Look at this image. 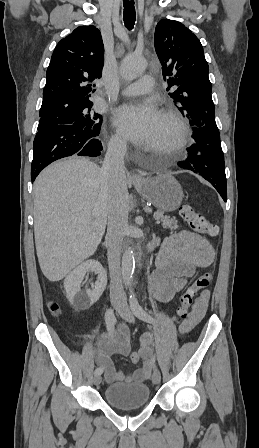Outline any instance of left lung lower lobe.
Masks as SVG:
<instances>
[{
  "mask_svg": "<svg viewBox=\"0 0 259 448\" xmlns=\"http://www.w3.org/2000/svg\"><path fill=\"white\" fill-rule=\"evenodd\" d=\"M195 140L187 149L189 155L178 166L199 173L208 180L227 201L224 154L220 143V133L216 123H197L193 127Z\"/></svg>",
  "mask_w": 259,
  "mask_h": 448,
  "instance_id": "1",
  "label": "left lung lower lobe"
}]
</instances>
